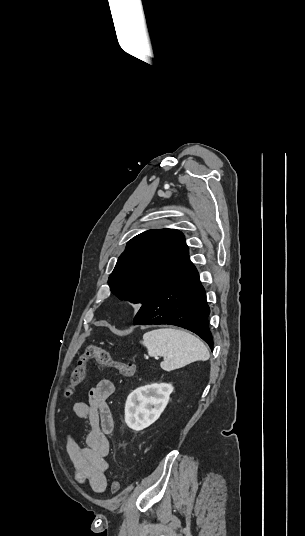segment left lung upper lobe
<instances>
[{
	"instance_id": "obj_1",
	"label": "left lung upper lobe",
	"mask_w": 305,
	"mask_h": 536,
	"mask_svg": "<svg viewBox=\"0 0 305 536\" xmlns=\"http://www.w3.org/2000/svg\"><path fill=\"white\" fill-rule=\"evenodd\" d=\"M191 265L180 231L148 230L127 243L108 284L119 299L143 305Z\"/></svg>"
}]
</instances>
